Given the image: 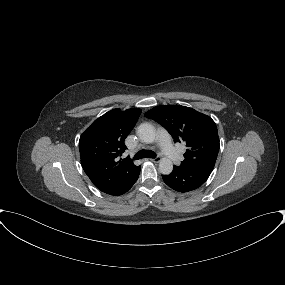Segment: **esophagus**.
Segmentation results:
<instances>
[{
  "mask_svg": "<svg viewBox=\"0 0 285 285\" xmlns=\"http://www.w3.org/2000/svg\"><path fill=\"white\" fill-rule=\"evenodd\" d=\"M150 160L155 163H158L160 161L158 157L151 158Z\"/></svg>",
  "mask_w": 285,
  "mask_h": 285,
  "instance_id": "esophagus-1",
  "label": "esophagus"
}]
</instances>
